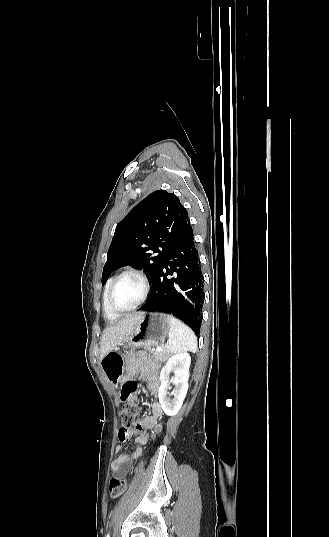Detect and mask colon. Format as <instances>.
Returning a JSON list of instances; mask_svg holds the SVG:
<instances>
[{"label": "colon", "instance_id": "obj_1", "mask_svg": "<svg viewBox=\"0 0 329 537\" xmlns=\"http://www.w3.org/2000/svg\"><path fill=\"white\" fill-rule=\"evenodd\" d=\"M130 381V380H128ZM122 399V398H121ZM139 413V408L135 404V396L134 398L128 400V402L125 404V406L122 408L121 411V419H122V429H121V435L124 430L131 429L133 426H136L137 428L140 427L139 424L136 423V418ZM160 430V426L157 425L152 431H151V437H153L156 433H158ZM127 486V481L122 478L114 477L110 480L109 483V491L112 498H117L121 494L124 493Z\"/></svg>", "mask_w": 329, "mask_h": 537}]
</instances>
